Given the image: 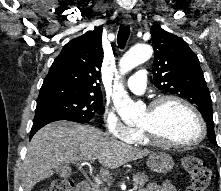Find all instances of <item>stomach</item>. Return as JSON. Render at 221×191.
Wrapping results in <instances>:
<instances>
[{"label": "stomach", "mask_w": 221, "mask_h": 191, "mask_svg": "<svg viewBox=\"0 0 221 191\" xmlns=\"http://www.w3.org/2000/svg\"><path fill=\"white\" fill-rule=\"evenodd\" d=\"M147 165L152 171L164 174L173 168L174 161L169 154L156 152L149 155Z\"/></svg>", "instance_id": "0dacf381"}]
</instances>
